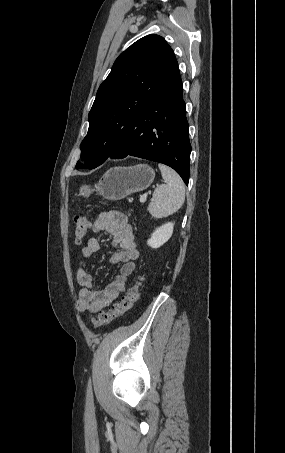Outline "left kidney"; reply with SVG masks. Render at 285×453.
Masks as SVG:
<instances>
[{
    "instance_id": "left-kidney-1",
    "label": "left kidney",
    "mask_w": 285,
    "mask_h": 453,
    "mask_svg": "<svg viewBox=\"0 0 285 453\" xmlns=\"http://www.w3.org/2000/svg\"><path fill=\"white\" fill-rule=\"evenodd\" d=\"M174 223L168 222L156 228L152 233L151 238L147 241L148 246L152 248H159L166 243L173 233Z\"/></svg>"
}]
</instances>
